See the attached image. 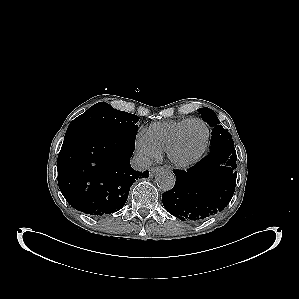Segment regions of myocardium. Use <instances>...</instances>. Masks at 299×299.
I'll list each match as a JSON object with an SVG mask.
<instances>
[{
    "mask_svg": "<svg viewBox=\"0 0 299 299\" xmlns=\"http://www.w3.org/2000/svg\"><path fill=\"white\" fill-rule=\"evenodd\" d=\"M193 122H199L205 127L206 135H205L204 142H203L201 148L192 157H190L189 159H186V160H179L174 156V152L177 149V147L181 141V138H182V135H183L185 129L187 128L188 125H190ZM209 138H210V130L205 121H203L200 118L189 119L180 127V129L176 132L172 141L168 145L167 149L165 150L166 157H167L168 161L177 168H181V169L189 168L192 165H194L195 163H197L200 160V158L203 156L204 152L207 149V146L209 143Z\"/></svg>",
    "mask_w": 299,
    "mask_h": 299,
    "instance_id": "f54148a6",
    "label": "myocardium"
}]
</instances>
